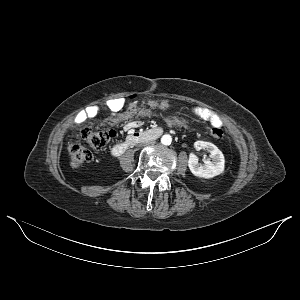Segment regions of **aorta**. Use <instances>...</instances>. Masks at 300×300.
Instances as JSON below:
<instances>
[{
  "instance_id": "aorta-1",
  "label": "aorta",
  "mask_w": 300,
  "mask_h": 300,
  "mask_svg": "<svg viewBox=\"0 0 300 300\" xmlns=\"http://www.w3.org/2000/svg\"><path fill=\"white\" fill-rule=\"evenodd\" d=\"M172 142V137L169 134H165L161 137V143L163 145H170Z\"/></svg>"
}]
</instances>
